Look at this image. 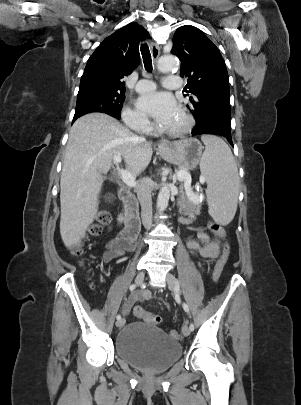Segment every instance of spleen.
I'll list each match as a JSON object with an SVG mask.
<instances>
[{"label": "spleen", "mask_w": 301, "mask_h": 405, "mask_svg": "<svg viewBox=\"0 0 301 405\" xmlns=\"http://www.w3.org/2000/svg\"><path fill=\"white\" fill-rule=\"evenodd\" d=\"M205 151L200 161L202 177L207 182L209 213L221 225L235 216L239 194L238 169L229 146L219 137L202 136Z\"/></svg>", "instance_id": "1"}]
</instances>
